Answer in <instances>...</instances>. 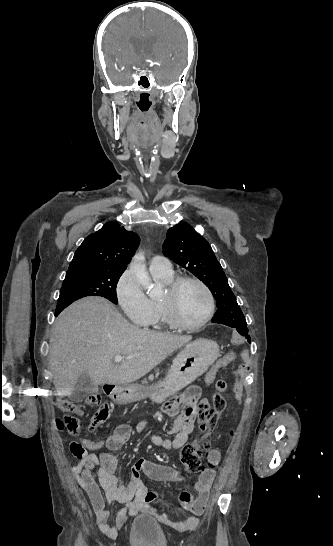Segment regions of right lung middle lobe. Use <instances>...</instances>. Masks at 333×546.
Returning a JSON list of instances; mask_svg holds the SVG:
<instances>
[{
	"instance_id": "dd1d6c3e",
	"label": "right lung middle lobe",
	"mask_w": 333,
	"mask_h": 546,
	"mask_svg": "<svg viewBox=\"0 0 333 546\" xmlns=\"http://www.w3.org/2000/svg\"><path fill=\"white\" fill-rule=\"evenodd\" d=\"M124 270L95 269L85 273L66 274L57 310H63L75 300L86 296H102L117 304L116 286Z\"/></svg>"
}]
</instances>
